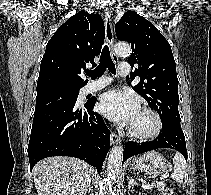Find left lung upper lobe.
Masks as SVG:
<instances>
[{
	"mask_svg": "<svg viewBox=\"0 0 211 195\" xmlns=\"http://www.w3.org/2000/svg\"><path fill=\"white\" fill-rule=\"evenodd\" d=\"M117 38L131 43L128 63L137 68L131 79L140 77L133 88L155 109L162 121H178V78L168 41L158 29L134 11L126 12L115 25Z\"/></svg>",
	"mask_w": 211,
	"mask_h": 195,
	"instance_id": "left-lung-upper-lobe-1",
	"label": "left lung upper lobe"
}]
</instances>
